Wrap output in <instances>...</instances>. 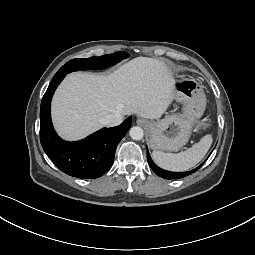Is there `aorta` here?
<instances>
[{"instance_id": "762f6f07", "label": "aorta", "mask_w": 255, "mask_h": 255, "mask_svg": "<svg viewBox=\"0 0 255 255\" xmlns=\"http://www.w3.org/2000/svg\"><path fill=\"white\" fill-rule=\"evenodd\" d=\"M130 137L134 140H141L144 136L143 129L138 126H134L129 131Z\"/></svg>"}]
</instances>
